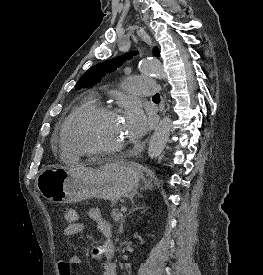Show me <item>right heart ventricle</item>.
Returning a JSON list of instances; mask_svg holds the SVG:
<instances>
[{"label":"right heart ventricle","mask_w":263,"mask_h":275,"mask_svg":"<svg viewBox=\"0 0 263 275\" xmlns=\"http://www.w3.org/2000/svg\"><path fill=\"white\" fill-rule=\"evenodd\" d=\"M95 105V99L94 97L90 96L85 98L67 117L63 124L62 128V143H61V151L63 156L69 158V159H77L78 154L77 152L72 148L70 145L67 135L69 134L70 128L76 119V117L81 114L86 109L90 108L91 106Z\"/></svg>","instance_id":"1"}]
</instances>
